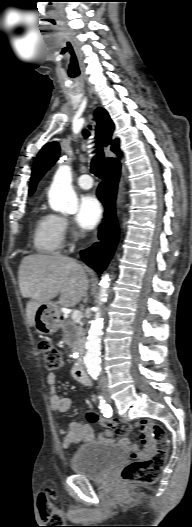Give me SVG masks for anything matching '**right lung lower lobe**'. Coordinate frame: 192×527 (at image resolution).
I'll return each instance as SVG.
<instances>
[{
    "mask_svg": "<svg viewBox=\"0 0 192 527\" xmlns=\"http://www.w3.org/2000/svg\"><path fill=\"white\" fill-rule=\"evenodd\" d=\"M120 175V163L114 160L105 165L103 182L99 185L98 196L106 207V218L99 229L100 242L81 252L87 265L101 273L108 265L118 241V226L115 217V198Z\"/></svg>",
    "mask_w": 192,
    "mask_h": 527,
    "instance_id": "obj_1",
    "label": "right lung lower lobe"
}]
</instances>
